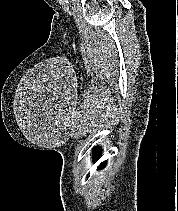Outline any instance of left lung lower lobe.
Masks as SVG:
<instances>
[{"mask_svg":"<svg viewBox=\"0 0 178 211\" xmlns=\"http://www.w3.org/2000/svg\"><path fill=\"white\" fill-rule=\"evenodd\" d=\"M92 153H93V159H96V160L98 159V156L101 155V152L98 153V147H95ZM105 165H106V161L101 163L98 168L102 169V167H104Z\"/></svg>","mask_w":178,"mask_h":211,"instance_id":"1","label":"left lung lower lobe"}]
</instances>
